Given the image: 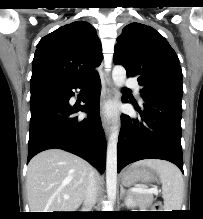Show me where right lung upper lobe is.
Segmentation results:
<instances>
[{
	"label": "right lung upper lobe",
	"mask_w": 203,
	"mask_h": 219,
	"mask_svg": "<svg viewBox=\"0 0 203 219\" xmlns=\"http://www.w3.org/2000/svg\"><path fill=\"white\" fill-rule=\"evenodd\" d=\"M101 44L94 28L85 21L66 24L43 37L32 61L31 82L72 81L97 74Z\"/></svg>",
	"instance_id": "right-lung-upper-lobe-1"
}]
</instances>
